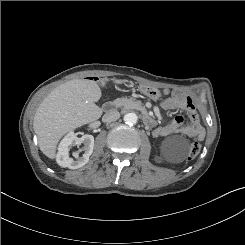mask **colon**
Returning a JSON list of instances; mask_svg holds the SVG:
<instances>
[{"instance_id":"obj_1","label":"colon","mask_w":245,"mask_h":245,"mask_svg":"<svg viewBox=\"0 0 245 245\" xmlns=\"http://www.w3.org/2000/svg\"><path fill=\"white\" fill-rule=\"evenodd\" d=\"M141 91L145 95H147L148 97L153 98V99H159V98H162L168 94V90L159 89V88H155L152 86H142ZM200 150H201V147L198 143L191 144V146L189 148V152H188V159L192 160V159L196 158L198 156V154L200 153Z\"/></svg>"}]
</instances>
